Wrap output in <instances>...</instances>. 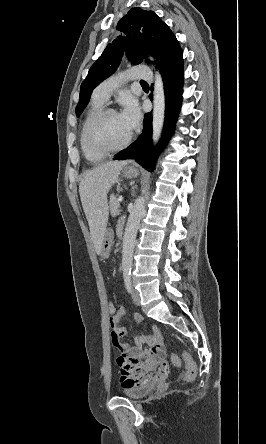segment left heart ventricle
<instances>
[{
    "label": "left heart ventricle",
    "instance_id": "1",
    "mask_svg": "<svg viewBox=\"0 0 266 444\" xmlns=\"http://www.w3.org/2000/svg\"><path fill=\"white\" fill-rule=\"evenodd\" d=\"M130 133L119 113L108 114L95 127L92 141L100 148H112L121 145Z\"/></svg>",
    "mask_w": 266,
    "mask_h": 444
}]
</instances>
